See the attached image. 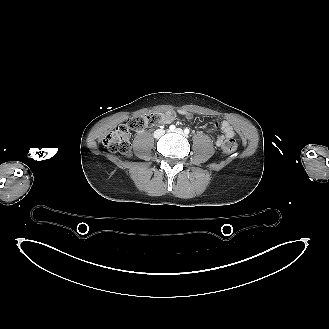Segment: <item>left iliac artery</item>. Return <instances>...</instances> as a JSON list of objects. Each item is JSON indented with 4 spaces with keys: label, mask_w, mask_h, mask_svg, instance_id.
<instances>
[{
    "label": "left iliac artery",
    "mask_w": 329,
    "mask_h": 329,
    "mask_svg": "<svg viewBox=\"0 0 329 329\" xmlns=\"http://www.w3.org/2000/svg\"><path fill=\"white\" fill-rule=\"evenodd\" d=\"M189 132H190V130H189L188 128H185V129H184V133H185V134H189Z\"/></svg>",
    "instance_id": "1"
}]
</instances>
